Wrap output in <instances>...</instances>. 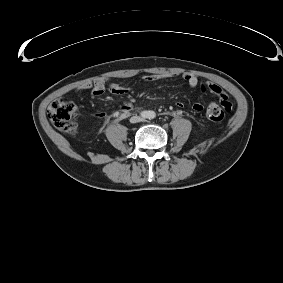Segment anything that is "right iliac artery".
<instances>
[{
  "label": "right iliac artery",
  "instance_id": "obj_1",
  "mask_svg": "<svg viewBox=\"0 0 283 283\" xmlns=\"http://www.w3.org/2000/svg\"><path fill=\"white\" fill-rule=\"evenodd\" d=\"M141 116H142L143 118H147V117H148V112H147V111H142V112H141Z\"/></svg>",
  "mask_w": 283,
  "mask_h": 283
}]
</instances>
